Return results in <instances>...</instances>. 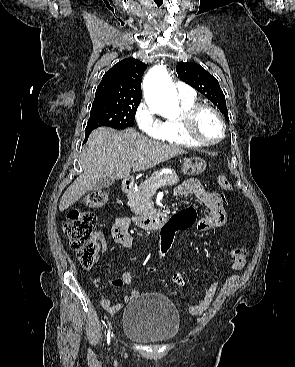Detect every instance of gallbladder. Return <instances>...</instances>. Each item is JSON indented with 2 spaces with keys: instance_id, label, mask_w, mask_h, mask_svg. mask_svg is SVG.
Here are the masks:
<instances>
[{
  "instance_id": "1",
  "label": "gallbladder",
  "mask_w": 295,
  "mask_h": 367,
  "mask_svg": "<svg viewBox=\"0 0 295 367\" xmlns=\"http://www.w3.org/2000/svg\"><path fill=\"white\" fill-rule=\"evenodd\" d=\"M113 183H114V180H112L110 178H103V179L99 180L96 184H94L92 186L91 190H101L103 188L109 187Z\"/></svg>"
}]
</instances>
